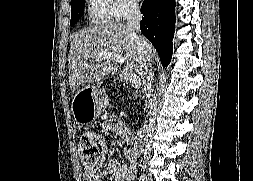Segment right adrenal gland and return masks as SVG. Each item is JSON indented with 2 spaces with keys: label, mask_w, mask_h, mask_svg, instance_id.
<instances>
[{
  "label": "right adrenal gland",
  "mask_w": 253,
  "mask_h": 181,
  "mask_svg": "<svg viewBox=\"0 0 253 181\" xmlns=\"http://www.w3.org/2000/svg\"><path fill=\"white\" fill-rule=\"evenodd\" d=\"M151 76L153 77L154 76V71L151 70Z\"/></svg>",
  "instance_id": "obj_1"
}]
</instances>
